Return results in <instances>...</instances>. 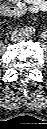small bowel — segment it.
<instances>
[{
	"label": "small bowel",
	"mask_w": 47,
	"mask_h": 129,
	"mask_svg": "<svg viewBox=\"0 0 47 129\" xmlns=\"http://www.w3.org/2000/svg\"><path fill=\"white\" fill-rule=\"evenodd\" d=\"M46 10V0H6L0 7L1 14L8 17H19L26 13L44 12Z\"/></svg>",
	"instance_id": "1"
}]
</instances>
